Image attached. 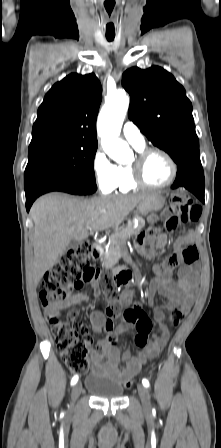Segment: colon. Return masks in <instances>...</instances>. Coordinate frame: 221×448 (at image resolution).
Listing matches in <instances>:
<instances>
[{
	"label": "colon",
	"instance_id": "colon-1",
	"mask_svg": "<svg viewBox=\"0 0 221 448\" xmlns=\"http://www.w3.org/2000/svg\"><path fill=\"white\" fill-rule=\"evenodd\" d=\"M171 211L175 214L167 220V228L171 231L195 222L200 214L199 207L184 194L171 197ZM196 246L188 245L180 254L181 262L195 264L198 260ZM99 278V271L91 265L90 247L81 244L71 250L54 268L48 270L41 282L40 299L45 308L58 306L66 301L72 293L84 285L93 283ZM106 295L116 308L118 299L114 296V286L111 281L106 282ZM127 320L136 327L135 345L144 348L147 345L152 322L142 309L129 308L125 311ZM183 314L176 310L171 322L177 326ZM50 327L55 335L57 349L67 366L74 372L85 374L89 370L87 349L92 338L87 325L71 314L68 319H62L58 311H50L47 315ZM108 329H112L109 321ZM133 379H126L124 386L131 388Z\"/></svg>",
	"mask_w": 221,
	"mask_h": 448
}]
</instances>
